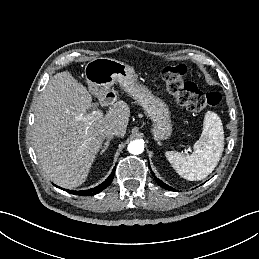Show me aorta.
<instances>
[{
	"label": "aorta",
	"instance_id": "1",
	"mask_svg": "<svg viewBox=\"0 0 259 259\" xmlns=\"http://www.w3.org/2000/svg\"><path fill=\"white\" fill-rule=\"evenodd\" d=\"M129 153L138 155L141 154L144 150V144L140 140L132 141L128 144L127 147Z\"/></svg>",
	"mask_w": 259,
	"mask_h": 259
}]
</instances>
